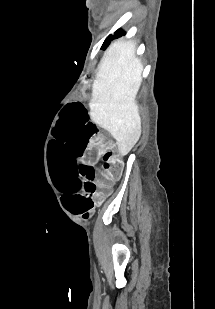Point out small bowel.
I'll return each mask as SVG.
<instances>
[{
	"instance_id": "1",
	"label": "small bowel",
	"mask_w": 215,
	"mask_h": 309,
	"mask_svg": "<svg viewBox=\"0 0 215 309\" xmlns=\"http://www.w3.org/2000/svg\"><path fill=\"white\" fill-rule=\"evenodd\" d=\"M111 184L98 183L100 190L96 194V199L98 203H101L106 196L111 193Z\"/></svg>"
}]
</instances>
